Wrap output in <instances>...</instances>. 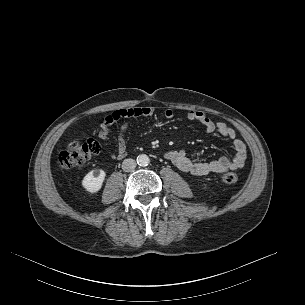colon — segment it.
<instances>
[{
  "label": "colon",
  "mask_w": 305,
  "mask_h": 305,
  "mask_svg": "<svg viewBox=\"0 0 305 305\" xmlns=\"http://www.w3.org/2000/svg\"><path fill=\"white\" fill-rule=\"evenodd\" d=\"M100 145L94 139L85 142H70L66 149L59 155V162L65 168H73L87 163L92 157L98 155ZM238 181V177L233 172H225L220 176V182L231 185Z\"/></svg>",
  "instance_id": "5ec220e1"
}]
</instances>
